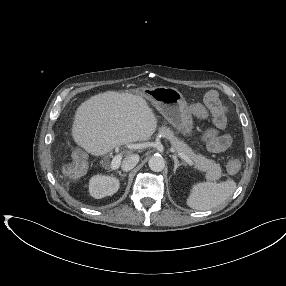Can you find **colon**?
Wrapping results in <instances>:
<instances>
[{
	"label": "colon",
	"mask_w": 286,
	"mask_h": 286,
	"mask_svg": "<svg viewBox=\"0 0 286 286\" xmlns=\"http://www.w3.org/2000/svg\"><path fill=\"white\" fill-rule=\"evenodd\" d=\"M205 103L214 112H220L222 110L221 105L217 97L213 93H209L205 96ZM240 164L237 160H231L228 164V170L231 173H235L239 170Z\"/></svg>",
	"instance_id": "5ec220e1"
}]
</instances>
